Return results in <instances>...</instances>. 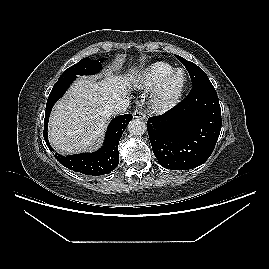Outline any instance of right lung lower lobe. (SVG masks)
Returning <instances> with one entry per match:
<instances>
[{"mask_svg": "<svg viewBox=\"0 0 269 269\" xmlns=\"http://www.w3.org/2000/svg\"><path fill=\"white\" fill-rule=\"evenodd\" d=\"M75 78L76 77H66L58 80L53 86L47 100L44 120V138L51 151H53V149L49 144L47 135L49 115L54 103L63 96V94ZM131 119V114L120 115L114 118L107 128L103 146L98 151L93 153L70 155L67 157L61 156L56 153L55 158L63 166L69 168L70 170L85 175L98 176L110 173L118 166L119 140Z\"/></svg>", "mask_w": 269, "mask_h": 269, "instance_id": "1", "label": "right lung lower lobe"}]
</instances>
